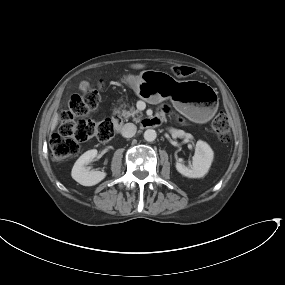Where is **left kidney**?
Segmentation results:
<instances>
[{"label":"left kidney","mask_w":285,"mask_h":285,"mask_svg":"<svg viewBox=\"0 0 285 285\" xmlns=\"http://www.w3.org/2000/svg\"><path fill=\"white\" fill-rule=\"evenodd\" d=\"M214 153L211 147L204 141L199 140L196 143L195 154L192 158V165L189 167L176 162V170L183 176L189 178H201L209 170L213 161Z\"/></svg>","instance_id":"obj_1"}]
</instances>
